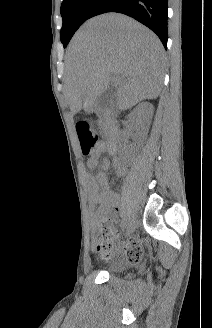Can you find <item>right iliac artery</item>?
Returning a JSON list of instances; mask_svg holds the SVG:
<instances>
[{"mask_svg":"<svg viewBox=\"0 0 212 328\" xmlns=\"http://www.w3.org/2000/svg\"><path fill=\"white\" fill-rule=\"evenodd\" d=\"M127 224H128V220L127 219H123L122 222H121V228L122 229H125L126 226H127Z\"/></svg>","mask_w":212,"mask_h":328,"instance_id":"82829eb1","label":"right iliac artery"}]
</instances>
